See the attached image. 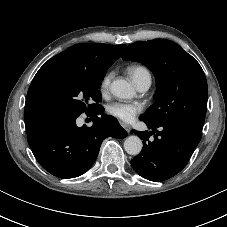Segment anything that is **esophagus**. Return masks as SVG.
<instances>
[{
	"label": "esophagus",
	"mask_w": 227,
	"mask_h": 227,
	"mask_svg": "<svg viewBox=\"0 0 227 227\" xmlns=\"http://www.w3.org/2000/svg\"><path fill=\"white\" fill-rule=\"evenodd\" d=\"M121 126L126 130V132L129 134L131 131V127L128 124L121 123Z\"/></svg>",
	"instance_id": "1"
}]
</instances>
